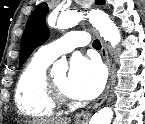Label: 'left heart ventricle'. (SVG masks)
Segmentation results:
<instances>
[{
  "label": "left heart ventricle",
  "instance_id": "left-heart-ventricle-1",
  "mask_svg": "<svg viewBox=\"0 0 145 124\" xmlns=\"http://www.w3.org/2000/svg\"><path fill=\"white\" fill-rule=\"evenodd\" d=\"M67 72H57L55 73L51 78L53 79L56 86L63 91L64 93H67ZM68 94V93H67Z\"/></svg>",
  "mask_w": 145,
  "mask_h": 124
}]
</instances>
